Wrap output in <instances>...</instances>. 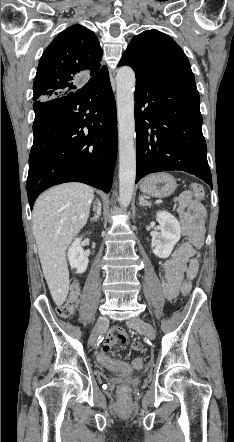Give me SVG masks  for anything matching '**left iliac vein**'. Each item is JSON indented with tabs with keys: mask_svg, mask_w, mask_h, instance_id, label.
<instances>
[{
	"mask_svg": "<svg viewBox=\"0 0 234 442\" xmlns=\"http://www.w3.org/2000/svg\"><path fill=\"white\" fill-rule=\"evenodd\" d=\"M126 324L137 331L143 332L148 338L152 340L156 338L154 327L151 324L142 320L140 317H133L129 319Z\"/></svg>",
	"mask_w": 234,
	"mask_h": 442,
	"instance_id": "4c4485c4",
	"label": "left iliac vein"
}]
</instances>
